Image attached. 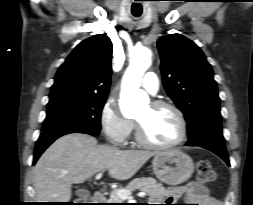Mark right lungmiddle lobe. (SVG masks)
<instances>
[{"label": "right lung middle lobe", "mask_w": 253, "mask_h": 205, "mask_svg": "<svg viewBox=\"0 0 253 205\" xmlns=\"http://www.w3.org/2000/svg\"><path fill=\"white\" fill-rule=\"evenodd\" d=\"M107 97L67 96L50 100L42 132L84 129L99 132L101 111Z\"/></svg>", "instance_id": "dd1d6c3e"}]
</instances>
